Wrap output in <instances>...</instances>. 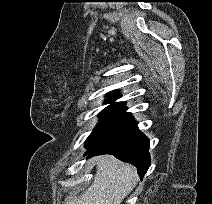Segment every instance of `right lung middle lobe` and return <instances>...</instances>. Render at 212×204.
I'll list each match as a JSON object with an SVG mask.
<instances>
[{"mask_svg":"<svg viewBox=\"0 0 212 204\" xmlns=\"http://www.w3.org/2000/svg\"><path fill=\"white\" fill-rule=\"evenodd\" d=\"M111 102L106 101V103ZM125 110V104L113 103L101 111V119L87 138L86 148L95 147L126 129L133 122V118L131 113L125 112Z\"/></svg>","mask_w":212,"mask_h":204,"instance_id":"1","label":"right lung middle lobe"}]
</instances>
